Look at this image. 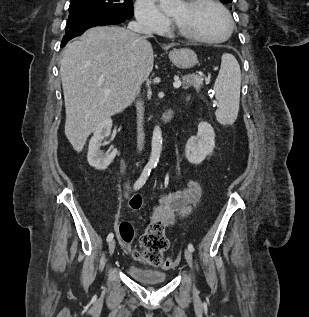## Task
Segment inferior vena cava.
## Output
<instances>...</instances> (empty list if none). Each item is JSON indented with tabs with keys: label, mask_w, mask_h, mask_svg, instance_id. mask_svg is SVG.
Wrapping results in <instances>:
<instances>
[{
	"label": "inferior vena cava",
	"mask_w": 309,
	"mask_h": 317,
	"mask_svg": "<svg viewBox=\"0 0 309 317\" xmlns=\"http://www.w3.org/2000/svg\"><path fill=\"white\" fill-rule=\"evenodd\" d=\"M128 28L132 31L143 33L146 35H150L151 32L147 29H144L139 23L137 22H130ZM136 111H137V149L138 151H142L144 148V128H143V117H144V104L143 101L137 100L136 101Z\"/></svg>",
	"instance_id": "inferior-vena-cava-1"
}]
</instances>
